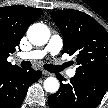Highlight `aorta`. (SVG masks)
Here are the masks:
<instances>
[{"label":"aorta","instance_id":"aorta-1","mask_svg":"<svg viewBox=\"0 0 108 108\" xmlns=\"http://www.w3.org/2000/svg\"><path fill=\"white\" fill-rule=\"evenodd\" d=\"M27 37L33 45L42 46L48 42L50 31L45 24L34 23L28 28ZM59 86V81L55 77H48L44 81V89L48 93H56Z\"/></svg>","mask_w":108,"mask_h":108}]
</instances>
